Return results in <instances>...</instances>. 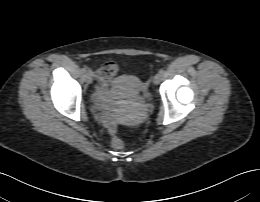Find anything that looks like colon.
<instances>
[{
	"label": "colon",
	"instance_id": "colon-1",
	"mask_svg": "<svg viewBox=\"0 0 260 202\" xmlns=\"http://www.w3.org/2000/svg\"><path fill=\"white\" fill-rule=\"evenodd\" d=\"M117 66L114 61L108 60L99 66L97 69L98 76L105 82L111 80V78L116 74ZM111 146L114 150L125 149V143L120 137H114L111 141Z\"/></svg>",
	"mask_w": 260,
	"mask_h": 202
}]
</instances>
